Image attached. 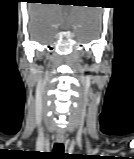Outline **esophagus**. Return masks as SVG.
Returning <instances> with one entry per match:
<instances>
[{"label": "esophagus", "mask_w": 134, "mask_h": 159, "mask_svg": "<svg viewBox=\"0 0 134 159\" xmlns=\"http://www.w3.org/2000/svg\"><path fill=\"white\" fill-rule=\"evenodd\" d=\"M56 140L58 143H64L65 141V137L63 134H58L57 137H56Z\"/></svg>", "instance_id": "obj_1"}]
</instances>
